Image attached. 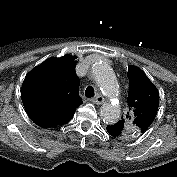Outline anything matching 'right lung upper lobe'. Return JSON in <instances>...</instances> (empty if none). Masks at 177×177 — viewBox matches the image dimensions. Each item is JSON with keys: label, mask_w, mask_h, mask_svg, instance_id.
<instances>
[{"label": "right lung upper lobe", "mask_w": 177, "mask_h": 177, "mask_svg": "<svg viewBox=\"0 0 177 177\" xmlns=\"http://www.w3.org/2000/svg\"><path fill=\"white\" fill-rule=\"evenodd\" d=\"M75 59L69 54L51 57L26 75L22 101L28 116L38 126L57 127L67 123L82 103Z\"/></svg>", "instance_id": "1"}]
</instances>
